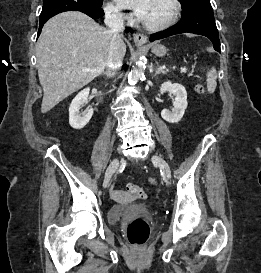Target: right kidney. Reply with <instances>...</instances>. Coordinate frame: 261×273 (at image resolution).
I'll use <instances>...</instances> for the list:
<instances>
[{
    "label": "right kidney",
    "instance_id": "obj_1",
    "mask_svg": "<svg viewBox=\"0 0 261 273\" xmlns=\"http://www.w3.org/2000/svg\"><path fill=\"white\" fill-rule=\"evenodd\" d=\"M89 92V88L83 89L76 95L70 104L69 124L74 129H82L85 127L93 116V108H88L83 116L80 114L81 106L87 103Z\"/></svg>",
    "mask_w": 261,
    "mask_h": 273
}]
</instances>
